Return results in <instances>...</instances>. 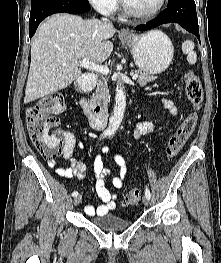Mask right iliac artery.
Here are the masks:
<instances>
[{
  "label": "right iliac artery",
  "mask_w": 221,
  "mask_h": 263,
  "mask_svg": "<svg viewBox=\"0 0 221 263\" xmlns=\"http://www.w3.org/2000/svg\"><path fill=\"white\" fill-rule=\"evenodd\" d=\"M104 136H106V134H103V135H102V137H104ZM72 196H73V197L78 196V192H77V191H73Z\"/></svg>",
  "instance_id": "right-iliac-artery-1"
}]
</instances>
